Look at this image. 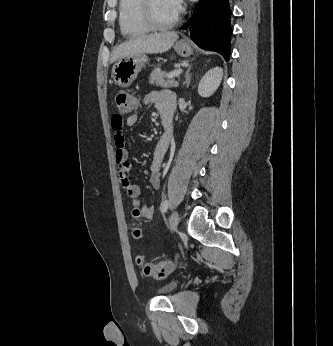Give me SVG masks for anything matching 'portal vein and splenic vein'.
Segmentation results:
<instances>
[{
	"mask_svg": "<svg viewBox=\"0 0 333 346\" xmlns=\"http://www.w3.org/2000/svg\"><path fill=\"white\" fill-rule=\"evenodd\" d=\"M182 73L181 69L175 70L168 75L169 79L179 76Z\"/></svg>",
	"mask_w": 333,
	"mask_h": 346,
	"instance_id": "18ae733b",
	"label": "portal vein and splenic vein"
}]
</instances>
